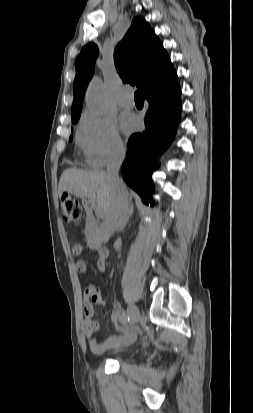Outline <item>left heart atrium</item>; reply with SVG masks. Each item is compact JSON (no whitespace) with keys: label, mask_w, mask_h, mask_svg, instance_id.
Instances as JSON below:
<instances>
[{"label":"left heart atrium","mask_w":253,"mask_h":413,"mask_svg":"<svg viewBox=\"0 0 253 413\" xmlns=\"http://www.w3.org/2000/svg\"><path fill=\"white\" fill-rule=\"evenodd\" d=\"M139 125L138 119L131 114L125 115L122 118V127L126 132L134 131Z\"/></svg>","instance_id":"1"}]
</instances>
